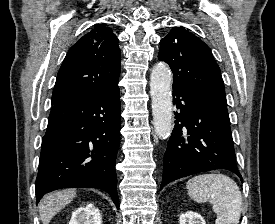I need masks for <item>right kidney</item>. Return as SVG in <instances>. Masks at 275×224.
<instances>
[{
	"label": "right kidney",
	"mask_w": 275,
	"mask_h": 224,
	"mask_svg": "<svg viewBox=\"0 0 275 224\" xmlns=\"http://www.w3.org/2000/svg\"><path fill=\"white\" fill-rule=\"evenodd\" d=\"M69 224H102L101 213L93 204L76 209Z\"/></svg>",
	"instance_id": "right-kidney-1"
}]
</instances>
